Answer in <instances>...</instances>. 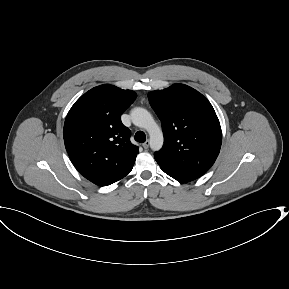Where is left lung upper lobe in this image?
I'll return each mask as SVG.
<instances>
[{
  "label": "left lung upper lobe",
  "instance_id": "obj_1",
  "mask_svg": "<svg viewBox=\"0 0 289 289\" xmlns=\"http://www.w3.org/2000/svg\"><path fill=\"white\" fill-rule=\"evenodd\" d=\"M148 98L165 138L155 160L173 178H199L214 164L221 148L220 122L212 105L184 84L149 92Z\"/></svg>",
  "mask_w": 289,
  "mask_h": 289
}]
</instances>
